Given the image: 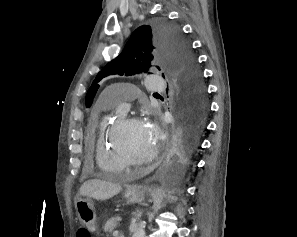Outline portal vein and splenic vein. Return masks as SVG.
<instances>
[{
    "mask_svg": "<svg viewBox=\"0 0 297 237\" xmlns=\"http://www.w3.org/2000/svg\"><path fill=\"white\" fill-rule=\"evenodd\" d=\"M118 230H115L114 232H113V236H117L118 235Z\"/></svg>",
    "mask_w": 297,
    "mask_h": 237,
    "instance_id": "portal-vein-and-splenic-vein-1",
    "label": "portal vein and splenic vein"
}]
</instances>
